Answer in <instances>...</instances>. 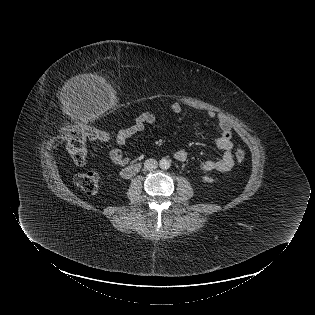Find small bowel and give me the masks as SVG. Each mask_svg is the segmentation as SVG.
Segmentation results:
<instances>
[{"label": "small bowel", "instance_id": "c3829d8e", "mask_svg": "<svg viewBox=\"0 0 315 315\" xmlns=\"http://www.w3.org/2000/svg\"><path fill=\"white\" fill-rule=\"evenodd\" d=\"M183 110V107L180 103H173L167 110L171 114H179ZM206 115L209 118H215L218 127L219 135L214 138V143L216 146L223 151V155L220 159L217 160H206L202 164V169L206 172L210 171H219L227 172L231 170L234 166V159L232 154L233 141H232V125L229 118L224 113H217L214 111H208ZM157 116L153 112H143L138 115L134 122L128 127L118 130L115 134V142L122 146L128 139L134 135L142 132L147 125H152L156 123ZM107 157L111 162L118 166L128 165L130 159L126 156L121 149L113 148L107 152ZM174 158L180 162H183L187 159V152L184 149H179L174 153Z\"/></svg>", "mask_w": 315, "mask_h": 315}]
</instances>
